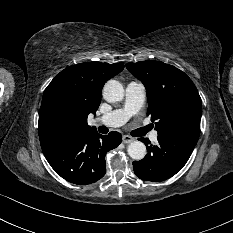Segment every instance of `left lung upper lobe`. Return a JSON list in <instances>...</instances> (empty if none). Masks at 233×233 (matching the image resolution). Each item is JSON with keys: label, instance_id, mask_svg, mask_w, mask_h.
<instances>
[{"label": "left lung upper lobe", "instance_id": "obj_1", "mask_svg": "<svg viewBox=\"0 0 233 233\" xmlns=\"http://www.w3.org/2000/svg\"><path fill=\"white\" fill-rule=\"evenodd\" d=\"M126 67L146 88L148 115L158 136L200 134L201 98L187 74L158 61L128 63Z\"/></svg>", "mask_w": 233, "mask_h": 233}]
</instances>
